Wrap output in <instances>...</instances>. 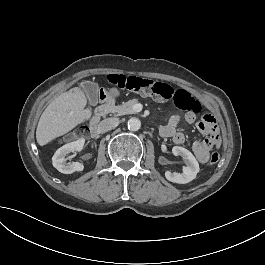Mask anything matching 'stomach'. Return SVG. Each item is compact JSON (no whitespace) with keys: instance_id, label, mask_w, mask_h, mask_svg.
<instances>
[{"instance_id":"1","label":"stomach","mask_w":265,"mask_h":265,"mask_svg":"<svg viewBox=\"0 0 265 265\" xmlns=\"http://www.w3.org/2000/svg\"><path fill=\"white\" fill-rule=\"evenodd\" d=\"M108 94L113 96L114 98H120L121 97V92L114 89V88H109L108 89Z\"/></svg>"}]
</instances>
